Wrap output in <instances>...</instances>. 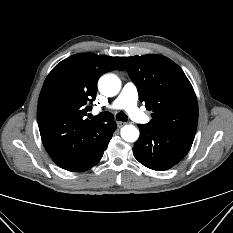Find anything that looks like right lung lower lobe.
<instances>
[{
	"label": "right lung lower lobe",
	"instance_id": "obj_1",
	"mask_svg": "<svg viewBox=\"0 0 233 233\" xmlns=\"http://www.w3.org/2000/svg\"><path fill=\"white\" fill-rule=\"evenodd\" d=\"M116 129V123L115 122H109L104 125L103 131L101 133V136L97 142V151L96 154L94 155L93 159L90 160V162L86 165H84L82 168L78 169H70L69 171L73 172H81L90 169L94 165H96L100 159L103 156L104 151L106 150L108 143L112 137L113 132Z\"/></svg>",
	"mask_w": 233,
	"mask_h": 233
}]
</instances>
